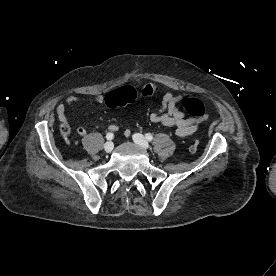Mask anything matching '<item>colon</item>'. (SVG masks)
<instances>
[{
    "label": "colon",
    "instance_id": "1",
    "mask_svg": "<svg viewBox=\"0 0 276 276\" xmlns=\"http://www.w3.org/2000/svg\"><path fill=\"white\" fill-rule=\"evenodd\" d=\"M156 93V90L149 84L144 85L140 89V94L143 97H150ZM137 92L130 86L122 87L119 90L113 91L107 95L106 102L110 107H118L133 102L136 99ZM181 105L185 111L195 118H201L205 114V108L202 102L196 98L185 97L181 100ZM64 135L70 133L68 125L64 124L61 128ZM198 141H193L189 145V151L195 153L198 150Z\"/></svg>",
    "mask_w": 276,
    "mask_h": 276
}]
</instances>
